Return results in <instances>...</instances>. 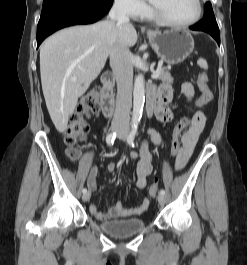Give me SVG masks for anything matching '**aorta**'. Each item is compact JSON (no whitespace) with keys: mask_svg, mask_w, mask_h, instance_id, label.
<instances>
[{"mask_svg":"<svg viewBox=\"0 0 247 265\" xmlns=\"http://www.w3.org/2000/svg\"><path fill=\"white\" fill-rule=\"evenodd\" d=\"M145 101L144 76L139 74L134 82L132 124L138 125Z\"/></svg>","mask_w":247,"mask_h":265,"instance_id":"1","label":"aorta"}]
</instances>
